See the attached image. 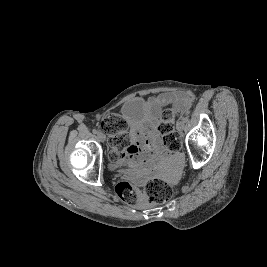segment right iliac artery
Listing matches in <instances>:
<instances>
[{"label": "right iliac artery", "mask_w": 267, "mask_h": 267, "mask_svg": "<svg viewBox=\"0 0 267 267\" xmlns=\"http://www.w3.org/2000/svg\"><path fill=\"white\" fill-rule=\"evenodd\" d=\"M92 132H93L94 134H97V133H98V131H97L96 129H93Z\"/></svg>", "instance_id": "82829eb1"}]
</instances>
